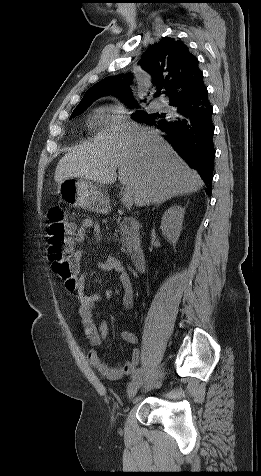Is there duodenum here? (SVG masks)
Returning <instances> with one entry per match:
<instances>
[{
  "label": "duodenum",
  "instance_id": "1",
  "mask_svg": "<svg viewBox=\"0 0 261 476\" xmlns=\"http://www.w3.org/2000/svg\"><path fill=\"white\" fill-rule=\"evenodd\" d=\"M133 267L138 272H143L146 268V258L142 249H135L131 255Z\"/></svg>",
  "mask_w": 261,
  "mask_h": 476
}]
</instances>
